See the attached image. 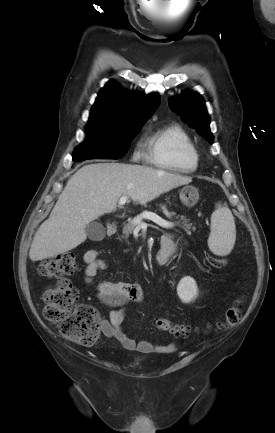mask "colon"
<instances>
[{"instance_id":"1","label":"colon","mask_w":275,"mask_h":433,"mask_svg":"<svg viewBox=\"0 0 275 433\" xmlns=\"http://www.w3.org/2000/svg\"><path fill=\"white\" fill-rule=\"evenodd\" d=\"M208 263L215 268L226 265L224 260L207 254ZM78 269L74 254H65L43 260L37 267L40 276L57 278V283L47 288L42 300L45 318L59 326L62 334L67 338L82 344H94L100 335L99 314L97 310L88 304L75 307L78 292L72 283L66 278L74 274ZM241 299L235 300L224 312L217 322L218 330H227L234 327L241 318ZM158 329L168 332L175 337H184L191 332V326L172 321L168 318L156 320Z\"/></svg>"}]
</instances>
